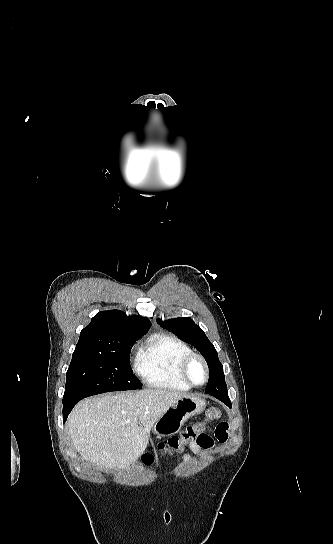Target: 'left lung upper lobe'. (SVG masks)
Returning <instances> with one entry per match:
<instances>
[{
	"label": "left lung upper lobe",
	"instance_id": "5c2ea615",
	"mask_svg": "<svg viewBox=\"0 0 333 544\" xmlns=\"http://www.w3.org/2000/svg\"><path fill=\"white\" fill-rule=\"evenodd\" d=\"M157 321L163 328L177 335L184 342L193 345L205 358L209 367V381L205 392L227 393L223 366L219 361L215 347L209 341L204 331L190 317L175 318L167 321L157 319Z\"/></svg>",
	"mask_w": 333,
	"mask_h": 544
}]
</instances>
